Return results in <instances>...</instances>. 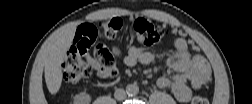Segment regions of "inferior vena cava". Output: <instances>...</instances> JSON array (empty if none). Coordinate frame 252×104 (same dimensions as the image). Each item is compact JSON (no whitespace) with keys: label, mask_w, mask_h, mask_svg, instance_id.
<instances>
[{"label":"inferior vena cava","mask_w":252,"mask_h":104,"mask_svg":"<svg viewBox=\"0 0 252 104\" xmlns=\"http://www.w3.org/2000/svg\"><path fill=\"white\" fill-rule=\"evenodd\" d=\"M114 97L115 99L121 101L124 100L126 98V92L124 89H117L114 93Z\"/></svg>","instance_id":"1"}]
</instances>
